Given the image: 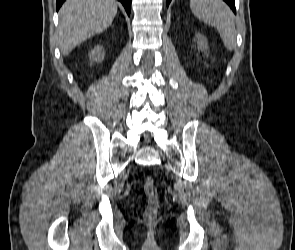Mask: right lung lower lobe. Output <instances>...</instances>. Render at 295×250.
Masks as SVG:
<instances>
[{"label": "right lung lower lobe", "instance_id": "obj_1", "mask_svg": "<svg viewBox=\"0 0 295 250\" xmlns=\"http://www.w3.org/2000/svg\"><path fill=\"white\" fill-rule=\"evenodd\" d=\"M118 1H120L123 4L127 14L130 15L131 0H118ZM63 2H65V0H57V3H56V9L57 10H59V8H60V6L62 5Z\"/></svg>", "mask_w": 295, "mask_h": 250}]
</instances>
